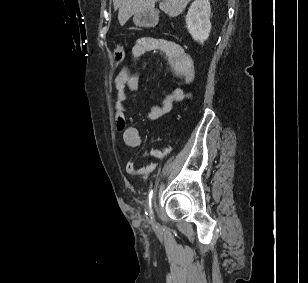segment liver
Returning a JSON list of instances; mask_svg holds the SVG:
<instances>
[{"label": "liver", "instance_id": "liver-1", "mask_svg": "<svg viewBox=\"0 0 308 283\" xmlns=\"http://www.w3.org/2000/svg\"><path fill=\"white\" fill-rule=\"evenodd\" d=\"M191 0H163L159 8L169 16H178ZM157 0H113L115 9H118V20L123 26L132 15L152 10Z\"/></svg>", "mask_w": 308, "mask_h": 283}]
</instances>
